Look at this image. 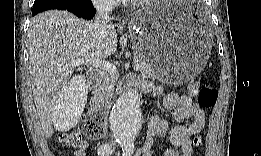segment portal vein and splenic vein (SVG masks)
<instances>
[{
	"mask_svg": "<svg viewBox=\"0 0 261 156\" xmlns=\"http://www.w3.org/2000/svg\"><path fill=\"white\" fill-rule=\"evenodd\" d=\"M82 64L91 65L93 67L100 68L105 71L116 72L115 65H113L109 62L103 61L101 59H78V60L71 62L70 66L78 67ZM140 68H141V64H139L137 61H135L134 69L139 70Z\"/></svg>",
	"mask_w": 261,
	"mask_h": 156,
	"instance_id": "obj_1",
	"label": "portal vein and splenic vein"
}]
</instances>
